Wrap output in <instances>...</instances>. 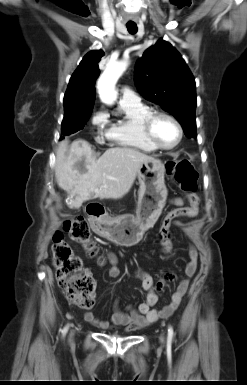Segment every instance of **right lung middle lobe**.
<instances>
[{"label":"right lung middle lobe","instance_id":"1","mask_svg":"<svg viewBox=\"0 0 247 385\" xmlns=\"http://www.w3.org/2000/svg\"><path fill=\"white\" fill-rule=\"evenodd\" d=\"M93 107L68 105L64 106L62 133L70 135L82 129L88 121Z\"/></svg>","mask_w":247,"mask_h":385}]
</instances>
